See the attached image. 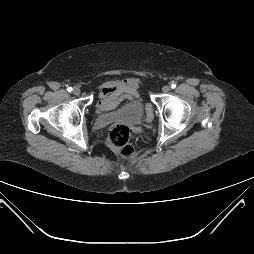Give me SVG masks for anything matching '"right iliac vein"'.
I'll use <instances>...</instances> for the list:
<instances>
[{
  "mask_svg": "<svg viewBox=\"0 0 254 254\" xmlns=\"http://www.w3.org/2000/svg\"><path fill=\"white\" fill-rule=\"evenodd\" d=\"M80 93H81V91H80L79 88L75 87V88L73 89V94H74V95L79 96Z\"/></svg>",
  "mask_w": 254,
  "mask_h": 254,
  "instance_id": "obj_1",
  "label": "right iliac vein"
}]
</instances>
